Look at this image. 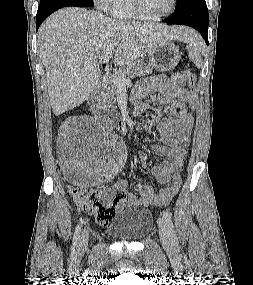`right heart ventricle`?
Segmentation results:
<instances>
[{
    "mask_svg": "<svg viewBox=\"0 0 253 285\" xmlns=\"http://www.w3.org/2000/svg\"><path fill=\"white\" fill-rule=\"evenodd\" d=\"M108 12L116 19L132 20L138 18L131 0H112Z\"/></svg>",
    "mask_w": 253,
    "mask_h": 285,
    "instance_id": "right-heart-ventricle-1",
    "label": "right heart ventricle"
}]
</instances>
